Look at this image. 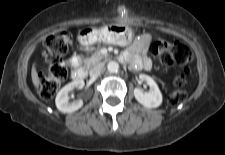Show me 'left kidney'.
<instances>
[{"instance_id": "1", "label": "left kidney", "mask_w": 225, "mask_h": 155, "mask_svg": "<svg viewBox=\"0 0 225 155\" xmlns=\"http://www.w3.org/2000/svg\"><path fill=\"white\" fill-rule=\"evenodd\" d=\"M139 78L141 81H145L150 90L148 92H143L139 88L134 89V96L136 100L147 108H157L162 103V93L157 85V83L148 75L140 74Z\"/></svg>"}]
</instances>
